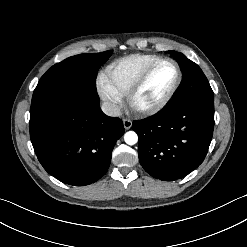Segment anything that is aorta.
<instances>
[{"label":"aorta","instance_id":"obj_1","mask_svg":"<svg viewBox=\"0 0 247 247\" xmlns=\"http://www.w3.org/2000/svg\"><path fill=\"white\" fill-rule=\"evenodd\" d=\"M124 141L128 145H134L138 142V135L134 131H128L124 134Z\"/></svg>","mask_w":247,"mask_h":247}]
</instances>
